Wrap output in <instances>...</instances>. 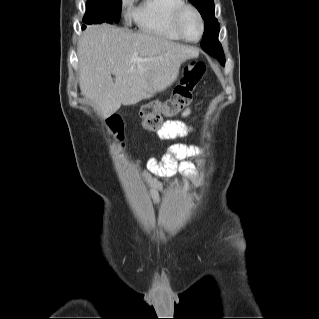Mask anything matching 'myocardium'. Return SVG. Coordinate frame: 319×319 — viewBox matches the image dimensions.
<instances>
[{
    "label": "myocardium",
    "mask_w": 319,
    "mask_h": 319,
    "mask_svg": "<svg viewBox=\"0 0 319 319\" xmlns=\"http://www.w3.org/2000/svg\"><path fill=\"white\" fill-rule=\"evenodd\" d=\"M187 11L193 12L199 21L200 34L195 39L188 38L181 29L180 22H181L183 15ZM171 26H172L173 31L177 34V36L179 38L187 41V42H193V43L198 42L203 37V34H204V21H203L202 15L196 7H194L193 5H190V4H183L174 11L172 18H171Z\"/></svg>",
    "instance_id": "f54148a6"
}]
</instances>
